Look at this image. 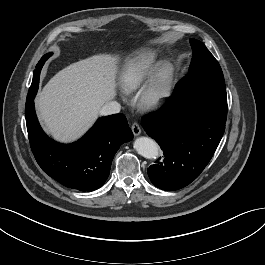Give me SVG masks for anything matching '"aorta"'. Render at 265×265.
<instances>
[{
    "label": "aorta",
    "instance_id": "1",
    "mask_svg": "<svg viewBox=\"0 0 265 265\" xmlns=\"http://www.w3.org/2000/svg\"><path fill=\"white\" fill-rule=\"evenodd\" d=\"M134 149L147 159H155L159 154L157 143L148 137L137 138L134 142Z\"/></svg>",
    "mask_w": 265,
    "mask_h": 265
}]
</instances>
